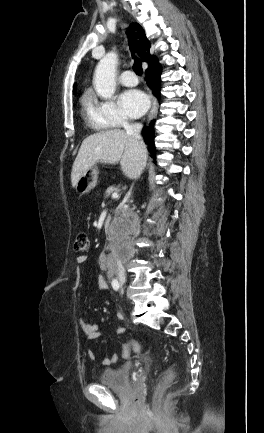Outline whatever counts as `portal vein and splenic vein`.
I'll return each instance as SVG.
<instances>
[{
    "mask_svg": "<svg viewBox=\"0 0 264 433\" xmlns=\"http://www.w3.org/2000/svg\"><path fill=\"white\" fill-rule=\"evenodd\" d=\"M112 198H113V199H118V198H119L118 193H117V192L113 193V194H112Z\"/></svg>",
    "mask_w": 264,
    "mask_h": 433,
    "instance_id": "18ae733b",
    "label": "portal vein and splenic vein"
}]
</instances>
